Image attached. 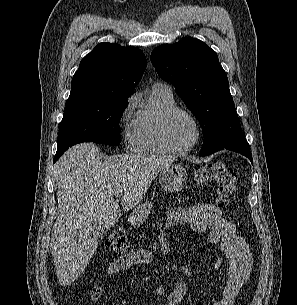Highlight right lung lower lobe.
Masks as SVG:
<instances>
[{
	"instance_id": "1",
	"label": "right lung lower lobe",
	"mask_w": 297,
	"mask_h": 305,
	"mask_svg": "<svg viewBox=\"0 0 297 305\" xmlns=\"http://www.w3.org/2000/svg\"><path fill=\"white\" fill-rule=\"evenodd\" d=\"M66 150H61L56 152V155L54 157V163L60 158V156L65 152Z\"/></svg>"
}]
</instances>
